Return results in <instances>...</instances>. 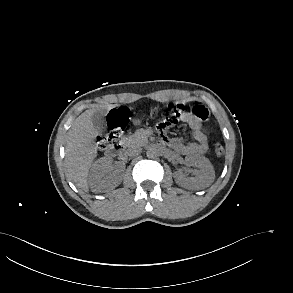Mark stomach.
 I'll return each mask as SVG.
<instances>
[{
  "instance_id": "1",
  "label": "stomach",
  "mask_w": 293,
  "mask_h": 293,
  "mask_svg": "<svg viewBox=\"0 0 293 293\" xmlns=\"http://www.w3.org/2000/svg\"><path fill=\"white\" fill-rule=\"evenodd\" d=\"M140 123H141L140 119H138V118L134 119V124L135 125H139Z\"/></svg>"
}]
</instances>
